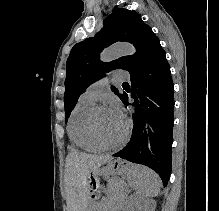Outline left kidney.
I'll return each instance as SVG.
<instances>
[{
	"mask_svg": "<svg viewBox=\"0 0 219 211\" xmlns=\"http://www.w3.org/2000/svg\"><path fill=\"white\" fill-rule=\"evenodd\" d=\"M131 199H133L134 205H138V201H136V197H134V195H131ZM138 209H140V211H153L152 207H145V205H140Z\"/></svg>",
	"mask_w": 219,
	"mask_h": 211,
	"instance_id": "obj_1",
	"label": "left kidney"
}]
</instances>
